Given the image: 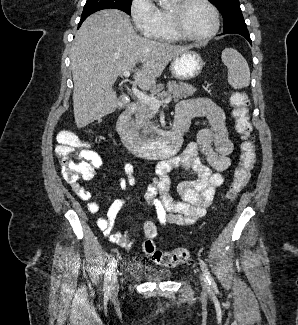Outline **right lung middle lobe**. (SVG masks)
<instances>
[{"label":"right lung middle lobe","mask_w":298,"mask_h":325,"mask_svg":"<svg viewBox=\"0 0 298 325\" xmlns=\"http://www.w3.org/2000/svg\"><path fill=\"white\" fill-rule=\"evenodd\" d=\"M132 0H87L81 20H85L92 13L108 8L119 9L130 14Z\"/></svg>","instance_id":"dd1d6c3e"}]
</instances>
